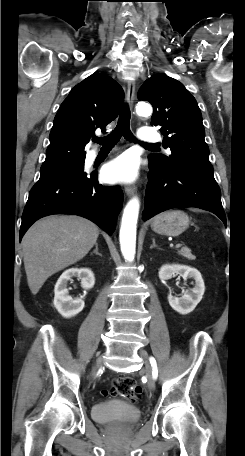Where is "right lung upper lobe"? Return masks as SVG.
<instances>
[{
	"instance_id": "right-lung-upper-lobe-1",
	"label": "right lung upper lobe",
	"mask_w": 245,
	"mask_h": 456,
	"mask_svg": "<svg viewBox=\"0 0 245 456\" xmlns=\"http://www.w3.org/2000/svg\"><path fill=\"white\" fill-rule=\"evenodd\" d=\"M123 98L121 86L106 75L94 73L76 85L54 118L41 168L84 160L85 145L117 117Z\"/></svg>"
}]
</instances>
